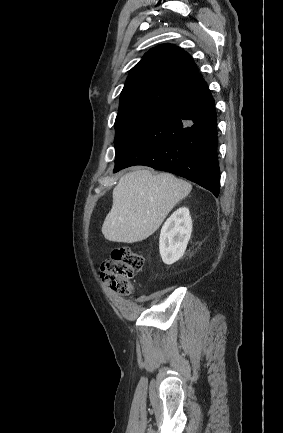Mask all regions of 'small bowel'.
<instances>
[{
    "label": "small bowel",
    "instance_id": "small-bowel-1",
    "mask_svg": "<svg viewBox=\"0 0 283 433\" xmlns=\"http://www.w3.org/2000/svg\"><path fill=\"white\" fill-rule=\"evenodd\" d=\"M121 309L126 316L130 317L132 315V312H133L132 309L129 308L126 304L121 303Z\"/></svg>",
    "mask_w": 283,
    "mask_h": 433
}]
</instances>
